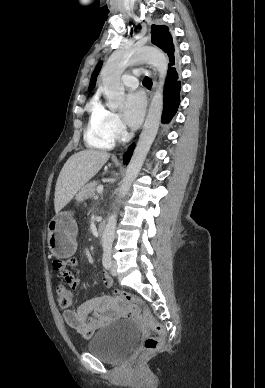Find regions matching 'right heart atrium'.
Returning <instances> with one entry per match:
<instances>
[{
	"label": "right heart atrium",
	"mask_w": 265,
	"mask_h": 388,
	"mask_svg": "<svg viewBox=\"0 0 265 388\" xmlns=\"http://www.w3.org/2000/svg\"><path fill=\"white\" fill-rule=\"evenodd\" d=\"M104 128L114 138L123 137L127 133V129L120 116L106 109L104 110Z\"/></svg>",
	"instance_id": "1"
}]
</instances>
